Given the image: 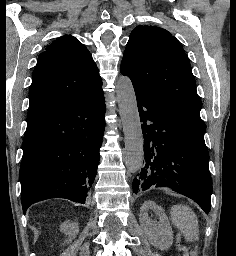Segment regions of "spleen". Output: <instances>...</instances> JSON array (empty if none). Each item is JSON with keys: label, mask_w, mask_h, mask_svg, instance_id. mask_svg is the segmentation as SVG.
Here are the masks:
<instances>
[{"label": "spleen", "mask_w": 236, "mask_h": 256, "mask_svg": "<svg viewBox=\"0 0 236 256\" xmlns=\"http://www.w3.org/2000/svg\"><path fill=\"white\" fill-rule=\"evenodd\" d=\"M172 220L181 230L186 242H197L199 240V228L196 214L188 206H173L171 212Z\"/></svg>", "instance_id": "obj_1"}]
</instances>
